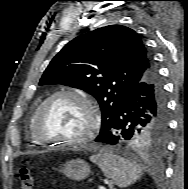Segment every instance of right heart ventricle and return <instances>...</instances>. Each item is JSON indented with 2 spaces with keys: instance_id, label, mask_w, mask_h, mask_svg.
<instances>
[{
  "instance_id": "1",
  "label": "right heart ventricle",
  "mask_w": 188,
  "mask_h": 189,
  "mask_svg": "<svg viewBox=\"0 0 188 189\" xmlns=\"http://www.w3.org/2000/svg\"><path fill=\"white\" fill-rule=\"evenodd\" d=\"M38 109V108H37ZM37 109L33 112L31 118H30V122H29V133H30V137L33 141H35L34 137H33V134H32V123H33V120H34V116H35V113L37 111Z\"/></svg>"
}]
</instances>
